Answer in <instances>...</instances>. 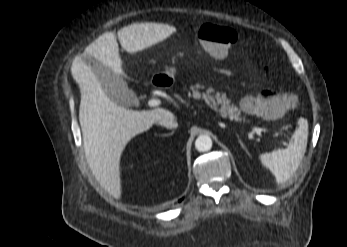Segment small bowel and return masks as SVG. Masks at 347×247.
<instances>
[{
    "instance_id": "small-bowel-1",
    "label": "small bowel",
    "mask_w": 347,
    "mask_h": 247,
    "mask_svg": "<svg viewBox=\"0 0 347 247\" xmlns=\"http://www.w3.org/2000/svg\"><path fill=\"white\" fill-rule=\"evenodd\" d=\"M219 71H220V73L227 75V76H229L231 74V72L228 69H220Z\"/></svg>"
}]
</instances>
